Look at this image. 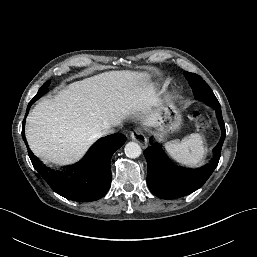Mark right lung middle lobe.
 <instances>
[{"instance_id":"dd1d6c3e","label":"right lung middle lobe","mask_w":257,"mask_h":257,"mask_svg":"<svg viewBox=\"0 0 257 257\" xmlns=\"http://www.w3.org/2000/svg\"><path fill=\"white\" fill-rule=\"evenodd\" d=\"M49 85H50V81H47L46 83H44V85L39 89L37 95L32 100L36 101L39 97H41L47 91V88Z\"/></svg>"}]
</instances>
